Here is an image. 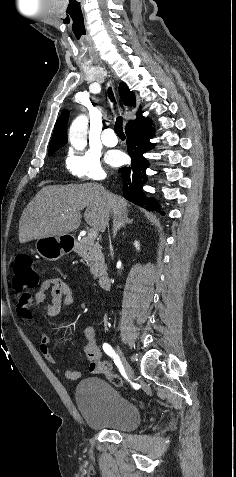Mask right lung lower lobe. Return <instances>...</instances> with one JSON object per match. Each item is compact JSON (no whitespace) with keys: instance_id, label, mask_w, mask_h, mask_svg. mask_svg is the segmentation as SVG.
Segmentation results:
<instances>
[{"instance_id":"right-lung-lower-lobe-1","label":"right lung lower lobe","mask_w":236,"mask_h":477,"mask_svg":"<svg viewBox=\"0 0 236 477\" xmlns=\"http://www.w3.org/2000/svg\"><path fill=\"white\" fill-rule=\"evenodd\" d=\"M149 121L135 124L125 129L127 135V147L132 159L131 166L119 170L123 179V195L127 200L139 205L146 204L149 210L159 211L158 205L152 199H146L143 195L142 185L147 182L146 169L148 161L144 153L153 148L149 139L153 137V128Z\"/></svg>"}]
</instances>
